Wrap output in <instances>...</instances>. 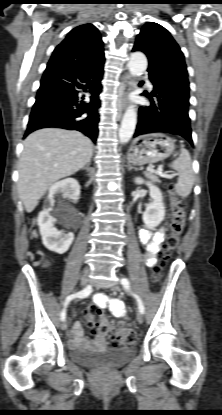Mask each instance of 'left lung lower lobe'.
Returning a JSON list of instances; mask_svg holds the SVG:
<instances>
[{"mask_svg": "<svg viewBox=\"0 0 222 415\" xmlns=\"http://www.w3.org/2000/svg\"><path fill=\"white\" fill-rule=\"evenodd\" d=\"M133 51H138L133 48ZM148 76L153 84L151 105L140 107L138 123L133 137L142 134L163 132L177 134L190 144L189 82L186 66L172 62H161L149 66ZM155 98V100L152 99Z\"/></svg>", "mask_w": 222, "mask_h": 415, "instance_id": "0a47b994", "label": "left lung lower lobe"}]
</instances>
